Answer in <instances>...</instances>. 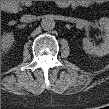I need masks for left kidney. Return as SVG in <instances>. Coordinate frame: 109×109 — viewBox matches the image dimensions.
Wrapping results in <instances>:
<instances>
[{
    "label": "left kidney",
    "mask_w": 109,
    "mask_h": 109,
    "mask_svg": "<svg viewBox=\"0 0 109 109\" xmlns=\"http://www.w3.org/2000/svg\"><path fill=\"white\" fill-rule=\"evenodd\" d=\"M100 26L105 30L104 41L100 45H94L89 38H83V48L91 55L104 56L109 53V20L103 17L99 20Z\"/></svg>",
    "instance_id": "1"
}]
</instances>
